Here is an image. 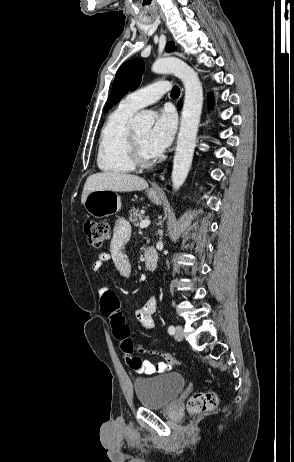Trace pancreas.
I'll return each mask as SVG.
<instances>
[{
  "instance_id": "1",
  "label": "pancreas",
  "mask_w": 294,
  "mask_h": 462,
  "mask_svg": "<svg viewBox=\"0 0 294 462\" xmlns=\"http://www.w3.org/2000/svg\"><path fill=\"white\" fill-rule=\"evenodd\" d=\"M144 216L141 211L138 209L132 208L129 212V220L132 222L135 226H138L139 223L143 220Z\"/></svg>"
}]
</instances>
